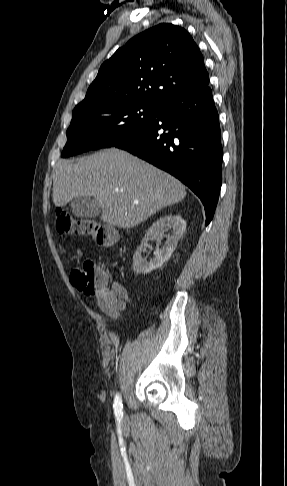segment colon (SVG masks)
Here are the masks:
<instances>
[{
	"mask_svg": "<svg viewBox=\"0 0 287 486\" xmlns=\"http://www.w3.org/2000/svg\"><path fill=\"white\" fill-rule=\"evenodd\" d=\"M56 228L60 233H72L92 238L99 246H112L117 242L116 231L94 219L73 218L64 212H58ZM72 284L84 294L113 302L115 296L109 288L106 272L93 261H85L71 274Z\"/></svg>",
	"mask_w": 287,
	"mask_h": 486,
	"instance_id": "obj_1",
	"label": "colon"
}]
</instances>
